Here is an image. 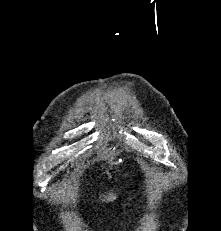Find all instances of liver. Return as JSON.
<instances>
[{"instance_id": "obj_1", "label": "liver", "mask_w": 221, "mask_h": 231, "mask_svg": "<svg viewBox=\"0 0 221 231\" xmlns=\"http://www.w3.org/2000/svg\"><path fill=\"white\" fill-rule=\"evenodd\" d=\"M115 199H116V195H113L112 193H109L108 196H105V197H104V201L106 200V201H108V202H111V201H113V200H115Z\"/></svg>"}]
</instances>
